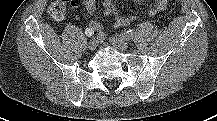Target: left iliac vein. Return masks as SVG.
Returning a JSON list of instances; mask_svg holds the SVG:
<instances>
[{
  "mask_svg": "<svg viewBox=\"0 0 217 121\" xmlns=\"http://www.w3.org/2000/svg\"><path fill=\"white\" fill-rule=\"evenodd\" d=\"M110 43L115 46L116 48H118L119 50L125 51L128 49L129 44L127 42V40L123 39L120 36H112L110 38Z\"/></svg>",
  "mask_w": 217,
  "mask_h": 121,
  "instance_id": "left-iliac-vein-1",
  "label": "left iliac vein"
}]
</instances>
